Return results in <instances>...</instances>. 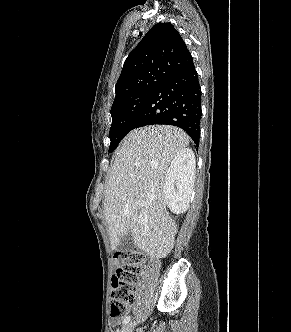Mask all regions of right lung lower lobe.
Listing matches in <instances>:
<instances>
[{
    "label": "right lung lower lobe",
    "instance_id": "1",
    "mask_svg": "<svg viewBox=\"0 0 291 332\" xmlns=\"http://www.w3.org/2000/svg\"><path fill=\"white\" fill-rule=\"evenodd\" d=\"M201 89L193 62L165 77L132 120L130 131L154 124L185 130L199 146Z\"/></svg>",
    "mask_w": 291,
    "mask_h": 332
}]
</instances>
